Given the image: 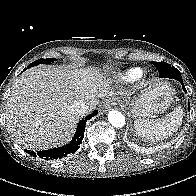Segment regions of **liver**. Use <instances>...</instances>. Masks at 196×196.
Segmentation results:
<instances>
[{
	"label": "liver",
	"instance_id": "liver-1",
	"mask_svg": "<svg viewBox=\"0 0 196 196\" xmlns=\"http://www.w3.org/2000/svg\"><path fill=\"white\" fill-rule=\"evenodd\" d=\"M111 80L97 68L70 69L38 66L26 70L12 86L6 105V127L16 143L44 150L67 143L79 119L70 112L75 100L89 110L98 99L115 92Z\"/></svg>",
	"mask_w": 196,
	"mask_h": 196
}]
</instances>
